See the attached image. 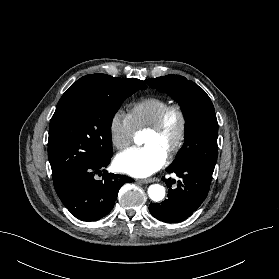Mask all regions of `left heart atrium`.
I'll use <instances>...</instances> for the list:
<instances>
[{"label":"left heart atrium","instance_id":"39dd6f15","mask_svg":"<svg viewBox=\"0 0 279 279\" xmlns=\"http://www.w3.org/2000/svg\"><path fill=\"white\" fill-rule=\"evenodd\" d=\"M167 154L158 147L145 145L132 147L120 153L115 160L117 169L134 177H147L166 162Z\"/></svg>","mask_w":279,"mask_h":279}]
</instances>
